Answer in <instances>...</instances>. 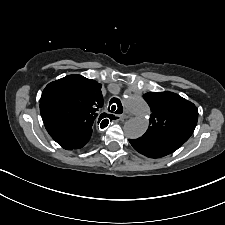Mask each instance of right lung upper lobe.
Returning <instances> with one entry per match:
<instances>
[{"mask_svg": "<svg viewBox=\"0 0 225 225\" xmlns=\"http://www.w3.org/2000/svg\"><path fill=\"white\" fill-rule=\"evenodd\" d=\"M101 84L81 75H68L51 82L43 90L40 113L43 122L78 124L92 129L101 121L103 107Z\"/></svg>", "mask_w": 225, "mask_h": 225, "instance_id": "1", "label": "right lung upper lobe"}]
</instances>
